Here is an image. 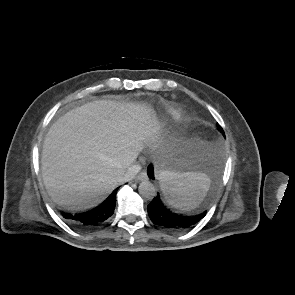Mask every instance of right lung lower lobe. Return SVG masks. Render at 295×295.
Returning a JSON list of instances; mask_svg holds the SVG:
<instances>
[{
    "mask_svg": "<svg viewBox=\"0 0 295 295\" xmlns=\"http://www.w3.org/2000/svg\"><path fill=\"white\" fill-rule=\"evenodd\" d=\"M117 189L97 208L75 216L63 213V217L72 220L79 226L90 228L104 223L114 212Z\"/></svg>",
    "mask_w": 295,
    "mask_h": 295,
    "instance_id": "1",
    "label": "right lung lower lobe"
}]
</instances>
